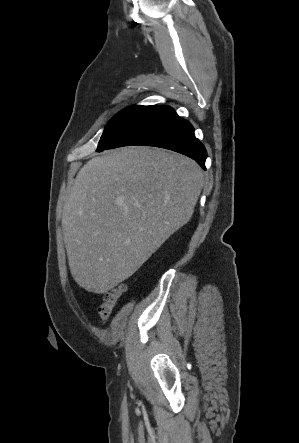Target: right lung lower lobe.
I'll list each match as a JSON object with an SVG mask.
<instances>
[{
	"mask_svg": "<svg viewBox=\"0 0 299 443\" xmlns=\"http://www.w3.org/2000/svg\"><path fill=\"white\" fill-rule=\"evenodd\" d=\"M131 145L173 150L193 158L205 169V147L194 136L193 126L169 106H147L106 149Z\"/></svg>",
	"mask_w": 299,
	"mask_h": 443,
	"instance_id": "obj_1",
	"label": "right lung lower lobe"
}]
</instances>
